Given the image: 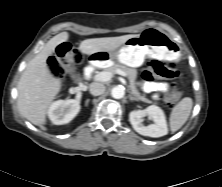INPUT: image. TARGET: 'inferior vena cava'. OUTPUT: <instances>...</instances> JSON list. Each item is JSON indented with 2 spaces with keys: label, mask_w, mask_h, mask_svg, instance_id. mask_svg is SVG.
<instances>
[{
  "label": "inferior vena cava",
  "mask_w": 222,
  "mask_h": 187,
  "mask_svg": "<svg viewBox=\"0 0 222 187\" xmlns=\"http://www.w3.org/2000/svg\"><path fill=\"white\" fill-rule=\"evenodd\" d=\"M90 93L94 96H99L104 93L105 86L102 83L93 82L89 87Z\"/></svg>",
  "instance_id": "obj_1"
}]
</instances>
